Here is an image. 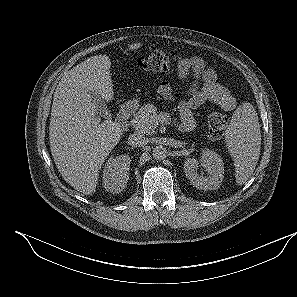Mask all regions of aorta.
Masks as SVG:
<instances>
[{
	"instance_id": "1",
	"label": "aorta",
	"mask_w": 297,
	"mask_h": 297,
	"mask_svg": "<svg viewBox=\"0 0 297 297\" xmlns=\"http://www.w3.org/2000/svg\"><path fill=\"white\" fill-rule=\"evenodd\" d=\"M167 148L163 145H158L153 148L152 155L155 159H164L167 157Z\"/></svg>"
}]
</instances>
